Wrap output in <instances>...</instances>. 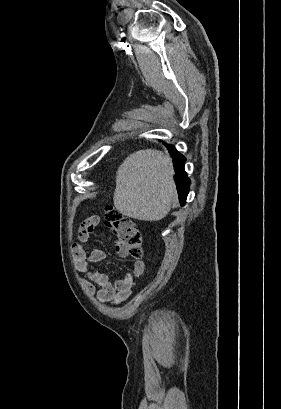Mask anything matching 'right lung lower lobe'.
I'll use <instances>...</instances> for the list:
<instances>
[{
	"label": "right lung lower lobe",
	"instance_id": "obj_1",
	"mask_svg": "<svg viewBox=\"0 0 281 409\" xmlns=\"http://www.w3.org/2000/svg\"><path fill=\"white\" fill-rule=\"evenodd\" d=\"M170 154L174 157V170L176 173V179L178 182L177 189L179 194V201L181 205L186 202V197L189 192L190 180L184 170L185 158L181 155L173 146H168Z\"/></svg>",
	"mask_w": 281,
	"mask_h": 409
}]
</instances>
